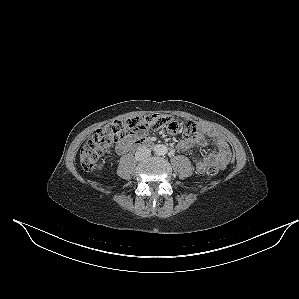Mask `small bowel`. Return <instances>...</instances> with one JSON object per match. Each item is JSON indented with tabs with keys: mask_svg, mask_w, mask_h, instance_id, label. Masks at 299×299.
<instances>
[{
	"mask_svg": "<svg viewBox=\"0 0 299 299\" xmlns=\"http://www.w3.org/2000/svg\"><path fill=\"white\" fill-rule=\"evenodd\" d=\"M202 132H206L208 136L212 137L217 146V151L209 153L208 155L195 159V167L199 172H205L206 169L215 165L219 169H223L231 160V150L229 144L226 140L215 130H205L203 127H199L197 134L193 138L185 137L178 143V148L185 152H190L195 146H204L205 138ZM140 134L132 135L129 138L121 141L117 145V151L119 153H124L128 150L133 140L137 138Z\"/></svg>",
	"mask_w": 299,
	"mask_h": 299,
	"instance_id": "obj_1",
	"label": "small bowel"
}]
</instances>
